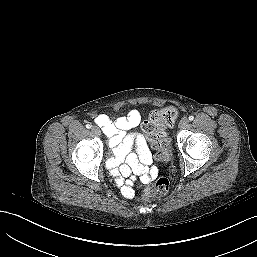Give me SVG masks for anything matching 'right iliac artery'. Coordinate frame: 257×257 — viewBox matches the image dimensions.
Returning <instances> with one entry per match:
<instances>
[{
	"instance_id": "82829eb1",
	"label": "right iliac artery",
	"mask_w": 257,
	"mask_h": 257,
	"mask_svg": "<svg viewBox=\"0 0 257 257\" xmlns=\"http://www.w3.org/2000/svg\"><path fill=\"white\" fill-rule=\"evenodd\" d=\"M92 126L90 124L86 125V128L90 129Z\"/></svg>"
}]
</instances>
